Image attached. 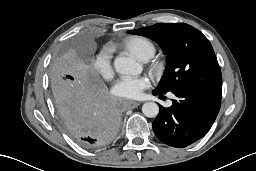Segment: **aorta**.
Segmentation results:
<instances>
[{
    "label": "aorta",
    "mask_w": 256,
    "mask_h": 171,
    "mask_svg": "<svg viewBox=\"0 0 256 171\" xmlns=\"http://www.w3.org/2000/svg\"><path fill=\"white\" fill-rule=\"evenodd\" d=\"M116 72L122 75H137L142 72V66L131 57L118 56L114 60ZM142 112L146 117L154 118L159 113V106L155 102H146L142 106Z\"/></svg>",
    "instance_id": "762f6f07"
}]
</instances>
